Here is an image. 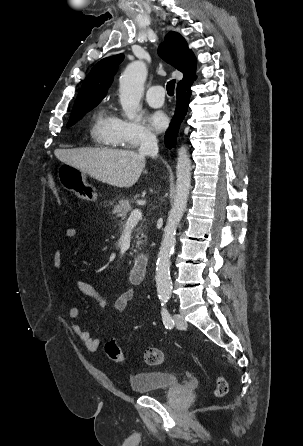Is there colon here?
I'll return each mask as SVG.
<instances>
[{"label": "colon", "instance_id": "1", "mask_svg": "<svg viewBox=\"0 0 303 446\" xmlns=\"http://www.w3.org/2000/svg\"><path fill=\"white\" fill-rule=\"evenodd\" d=\"M47 186L50 191L55 195V197L60 200L62 193L57 186L56 182L51 175H48ZM105 352L107 356L115 363L122 364L125 360L124 353L122 349L115 343V341H108L105 344ZM164 353L157 348H148L144 352V361L146 364L151 366L160 365L164 362ZM228 391V385L224 377L219 376L216 379V385L214 389V395L216 397H223Z\"/></svg>", "mask_w": 303, "mask_h": 446}]
</instances>
